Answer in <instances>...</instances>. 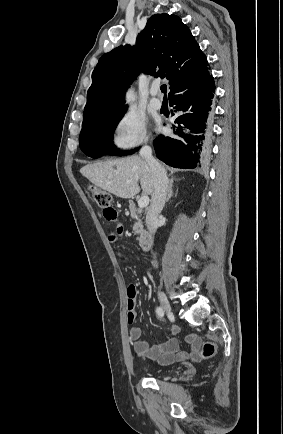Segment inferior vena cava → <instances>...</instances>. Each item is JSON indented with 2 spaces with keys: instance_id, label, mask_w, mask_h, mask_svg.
I'll return each mask as SVG.
<instances>
[{
  "instance_id": "inferior-vena-cava-1",
  "label": "inferior vena cava",
  "mask_w": 283,
  "mask_h": 434,
  "mask_svg": "<svg viewBox=\"0 0 283 434\" xmlns=\"http://www.w3.org/2000/svg\"><path fill=\"white\" fill-rule=\"evenodd\" d=\"M140 156L149 165L154 181L151 205L146 214L147 228L150 233L154 234L158 228V215L165 205L169 180L164 167L152 156V149L150 146L144 145L140 150Z\"/></svg>"
}]
</instances>
